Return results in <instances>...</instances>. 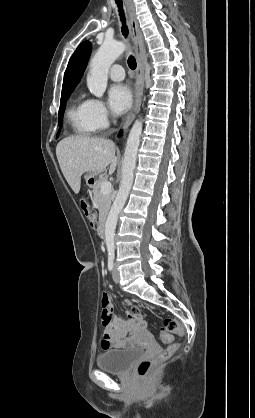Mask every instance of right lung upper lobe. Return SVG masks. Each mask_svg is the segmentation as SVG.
Returning a JSON list of instances; mask_svg holds the SVG:
<instances>
[{
  "label": "right lung upper lobe",
  "mask_w": 255,
  "mask_h": 418,
  "mask_svg": "<svg viewBox=\"0 0 255 418\" xmlns=\"http://www.w3.org/2000/svg\"><path fill=\"white\" fill-rule=\"evenodd\" d=\"M91 49V43L89 41H85L81 43L73 53L64 74L62 92L73 90L80 82L87 66Z\"/></svg>",
  "instance_id": "right-lung-upper-lobe-1"
}]
</instances>
